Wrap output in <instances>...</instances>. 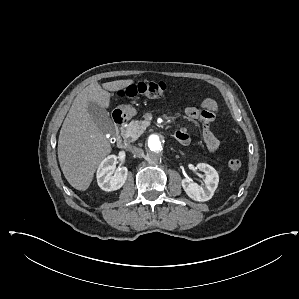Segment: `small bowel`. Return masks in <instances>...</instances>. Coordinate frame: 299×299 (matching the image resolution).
Segmentation results:
<instances>
[{
  "label": "small bowel",
  "instance_id": "small-bowel-1",
  "mask_svg": "<svg viewBox=\"0 0 299 299\" xmlns=\"http://www.w3.org/2000/svg\"><path fill=\"white\" fill-rule=\"evenodd\" d=\"M184 112L190 119H199L202 122L204 143L210 153L216 152L219 148V140L212 131L211 125L218 112L217 102L214 99L206 98L199 106H187ZM175 135L181 144L187 145L190 143V136L183 128H179Z\"/></svg>",
  "mask_w": 299,
  "mask_h": 299
}]
</instances>
